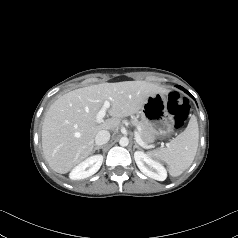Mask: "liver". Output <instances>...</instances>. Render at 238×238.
<instances>
[{
    "label": "liver",
    "instance_id": "obj_1",
    "mask_svg": "<svg viewBox=\"0 0 238 238\" xmlns=\"http://www.w3.org/2000/svg\"><path fill=\"white\" fill-rule=\"evenodd\" d=\"M156 93L167 90L145 81H123L62 95L49 107L42 126V149L49 166L57 173H68L93 153L99 131L114 130L122 118L138 113ZM105 101L111 104L108 113L112 118L98 122L96 116Z\"/></svg>",
    "mask_w": 238,
    "mask_h": 238
}]
</instances>
